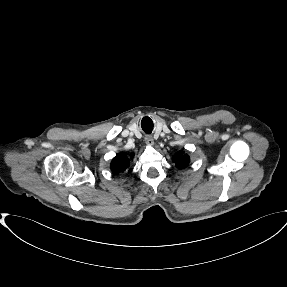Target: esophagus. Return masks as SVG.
I'll return each instance as SVG.
<instances>
[{"label": "esophagus", "mask_w": 287, "mask_h": 287, "mask_svg": "<svg viewBox=\"0 0 287 287\" xmlns=\"http://www.w3.org/2000/svg\"><path fill=\"white\" fill-rule=\"evenodd\" d=\"M145 142L148 145H153L154 144L153 138L151 136H149V135L145 137Z\"/></svg>", "instance_id": "34e87169"}]
</instances>
